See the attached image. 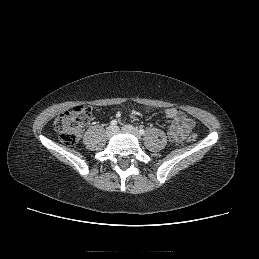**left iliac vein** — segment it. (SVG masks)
<instances>
[{
  "instance_id": "1",
  "label": "left iliac vein",
  "mask_w": 259,
  "mask_h": 259,
  "mask_svg": "<svg viewBox=\"0 0 259 259\" xmlns=\"http://www.w3.org/2000/svg\"><path fill=\"white\" fill-rule=\"evenodd\" d=\"M122 130H123L124 132H128V133L133 134L137 139H140V138H141V136H140L138 130H137L135 127L131 126V125H124V126L122 127Z\"/></svg>"
}]
</instances>
